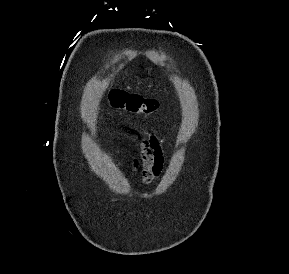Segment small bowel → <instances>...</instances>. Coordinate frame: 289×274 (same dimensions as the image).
<instances>
[{"label":"small bowel","mask_w":289,"mask_h":274,"mask_svg":"<svg viewBox=\"0 0 289 274\" xmlns=\"http://www.w3.org/2000/svg\"><path fill=\"white\" fill-rule=\"evenodd\" d=\"M130 137L139 143V157H133L131 166L133 172H136L141 165V179L144 184L155 182L161 175L165 156L161 140L151 131L145 136L137 133H131Z\"/></svg>","instance_id":"small-bowel-1"}]
</instances>
